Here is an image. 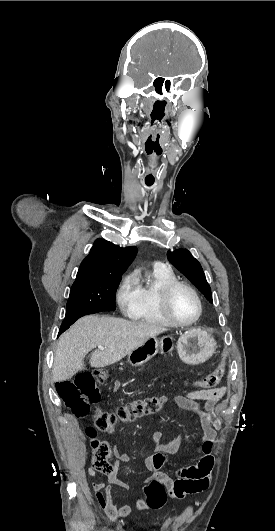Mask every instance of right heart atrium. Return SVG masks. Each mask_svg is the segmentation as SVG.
<instances>
[{
  "label": "right heart atrium",
  "instance_id": "right-heart-atrium-1",
  "mask_svg": "<svg viewBox=\"0 0 275 531\" xmlns=\"http://www.w3.org/2000/svg\"><path fill=\"white\" fill-rule=\"evenodd\" d=\"M139 290L140 285L134 274L130 273L122 278L117 290V301L124 315L134 314L140 301Z\"/></svg>",
  "mask_w": 275,
  "mask_h": 531
}]
</instances>
